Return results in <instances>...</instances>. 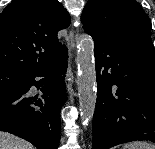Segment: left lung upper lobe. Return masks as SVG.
Wrapping results in <instances>:
<instances>
[{
    "label": "left lung upper lobe",
    "mask_w": 155,
    "mask_h": 149,
    "mask_svg": "<svg viewBox=\"0 0 155 149\" xmlns=\"http://www.w3.org/2000/svg\"><path fill=\"white\" fill-rule=\"evenodd\" d=\"M81 19L94 42L150 38L151 21L135 0H89Z\"/></svg>",
    "instance_id": "5c2ea615"
}]
</instances>
